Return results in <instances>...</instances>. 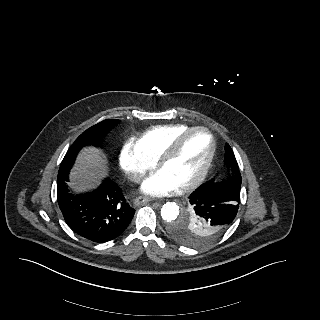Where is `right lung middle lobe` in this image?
Returning a JSON list of instances; mask_svg holds the SVG:
<instances>
[{
    "mask_svg": "<svg viewBox=\"0 0 320 320\" xmlns=\"http://www.w3.org/2000/svg\"><path fill=\"white\" fill-rule=\"evenodd\" d=\"M118 122L107 119L84 131L67 151L58 172V180L68 177L69 171L75 161L77 153L86 145H100L105 136Z\"/></svg>",
    "mask_w": 320,
    "mask_h": 320,
    "instance_id": "1",
    "label": "right lung middle lobe"
}]
</instances>
